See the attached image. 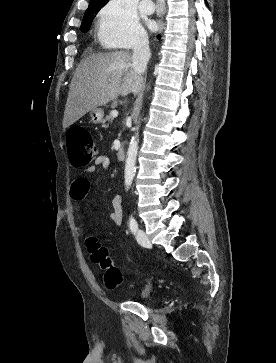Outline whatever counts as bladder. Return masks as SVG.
I'll return each mask as SVG.
<instances>
[{"mask_svg": "<svg viewBox=\"0 0 276 363\" xmlns=\"http://www.w3.org/2000/svg\"><path fill=\"white\" fill-rule=\"evenodd\" d=\"M153 295H154V289L150 288L145 294L142 295L140 301L144 303H149L151 302Z\"/></svg>", "mask_w": 276, "mask_h": 363, "instance_id": "31cf9c89", "label": "bladder"}]
</instances>
